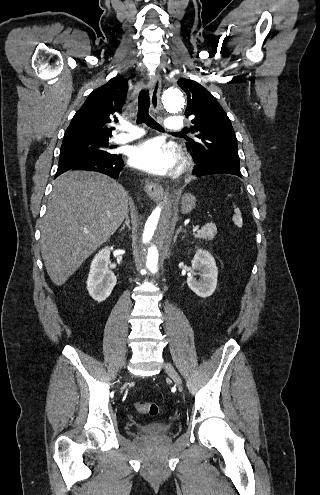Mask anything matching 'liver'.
<instances>
[{"instance_id": "obj_1", "label": "liver", "mask_w": 320, "mask_h": 495, "mask_svg": "<svg viewBox=\"0 0 320 495\" xmlns=\"http://www.w3.org/2000/svg\"><path fill=\"white\" fill-rule=\"evenodd\" d=\"M128 215V193L111 178L86 171L53 183L41 226V254L52 282L63 285Z\"/></svg>"}]
</instances>
